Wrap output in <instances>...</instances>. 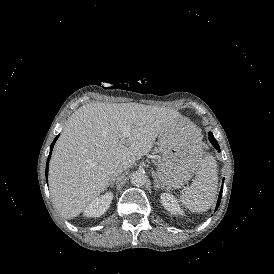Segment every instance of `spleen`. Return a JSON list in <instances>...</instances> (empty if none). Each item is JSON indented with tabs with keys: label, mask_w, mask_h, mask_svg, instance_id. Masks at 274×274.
<instances>
[{
	"label": "spleen",
	"mask_w": 274,
	"mask_h": 274,
	"mask_svg": "<svg viewBox=\"0 0 274 274\" xmlns=\"http://www.w3.org/2000/svg\"><path fill=\"white\" fill-rule=\"evenodd\" d=\"M197 135L194 136L196 138ZM199 140L201 141L200 131ZM198 171L196 178L190 187H187L182 195L181 202L192 212L208 210L215 202L217 195V163L212 155L202 158L201 144L194 145Z\"/></svg>",
	"instance_id": "3e777b00"
}]
</instances>
